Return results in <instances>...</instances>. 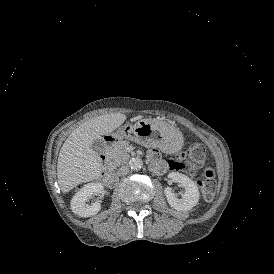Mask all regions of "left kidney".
I'll return each mask as SVG.
<instances>
[{
    "label": "left kidney",
    "instance_id": "1",
    "mask_svg": "<svg viewBox=\"0 0 274 274\" xmlns=\"http://www.w3.org/2000/svg\"><path fill=\"white\" fill-rule=\"evenodd\" d=\"M168 178L173 182L180 183L185 188V192L181 194L182 198H177V195L172 192L170 187H166L164 193L166 195L169 205L177 211L191 210L199 201V190L197 185L188 176L171 172Z\"/></svg>",
    "mask_w": 274,
    "mask_h": 274
}]
</instances>
